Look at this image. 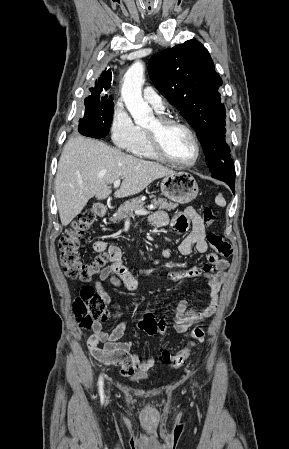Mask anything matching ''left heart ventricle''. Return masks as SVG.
Here are the masks:
<instances>
[{"label": "left heart ventricle", "instance_id": "left-heart-ventricle-1", "mask_svg": "<svg viewBox=\"0 0 289 449\" xmlns=\"http://www.w3.org/2000/svg\"><path fill=\"white\" fill-rule=\"evenodd\" d=\"M154 120L148 129H156ZM163 145L166 152L174 159L181 162H190L195 158L196 148L190 135L180 127H169L162 133Z\"/></svg>", "mask_w": 289, "mask_h": 449}]
</instances>
